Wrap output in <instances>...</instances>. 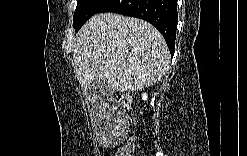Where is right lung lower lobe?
I'll list each match as a JSON object with an SVG mask.
<instances>
[{
    "mask_svg": "<svg viewBox=\"0 0 247 156\" xmlns=\"http://www.w3.org/2000/svg\"><path fill=\"white\" fill-rule=\"evenodd\" d=\"M114 12L151 23L165 38L173 56L177 29V0H107L98 13Z\"/></svg>",
    "mask_w": 247,
    "mask_h": 156,
    "instance_id": "98d812e1",
    "label": "right lung lower lobe"
}]
</instances>
